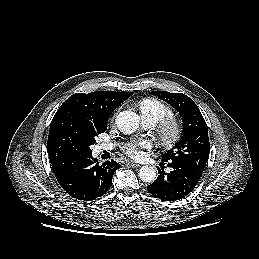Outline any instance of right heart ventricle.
<instances>
[{"instance_id": "right-heart-ventricle-1", "label": "right heart ventricle", "mask_w": 259, "mask_h": 259, "mask_svg": "<svg viewBox=\"0 0 259 259\" xmlns=\"http://www.w3.org/2000/svg\"><path fill=\"white\" fill-rule=\"evenodd\" d=\"M138 106L141 116L150 118L155 123L172 115L171 108L156 98H144L139 102Z\"/></svg>"}]
</instances>
